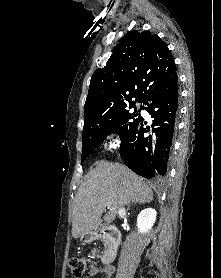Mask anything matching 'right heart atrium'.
Masks as SVG:
<instances>
[{"label":"right heart atrium","mask_w":221,"mask_h":278,"mask_svg":"<svg viewBox=\"0 0 221 278\" xmlns=\"http://www.w3.org/2000/svg\"><path fill=\"white\" fill-rule=\"evenodd\" d=\"M118 144V140L114 139L110 142V147H115Z\"/></svg>","instance_id":"right-heart-atrium-1"}]
</instances>
